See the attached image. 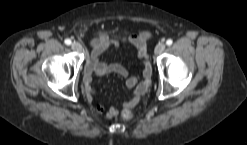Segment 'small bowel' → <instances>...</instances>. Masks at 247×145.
<instances>
[{"label": "small bowel", "mask_w": 247, "mask_h": 145, "mask_svg": "<svg viewBox=\"0 0 247 145\" xmlns=\"http://www.w3.org/2000/svg\"><path fill=\"white\" fill-rule=\"evenodd\" d=\"M146 40V34L121 36L111 39L106 34L101 33L92 41V51L84 70L82 88L83 94L89 102L92 101L95 95V90L91 87L93 75L103 76L109 73H116L126 79V87L132 91L131 98L123 102L121 107L129 109L139 103L141 97L151 85L152 66L149 61ZM121 44L134 46L137 49V57L143 65L141 78L130 75L129 70L121 64L108 63L100 60V56L110 47L118 48ZM95 110L98 114H105L108 118L115 117L119 114V109L116 106H112L105 112L101 105H96Z\"/></svg>", "instance_id": "1"}]
</instances>
